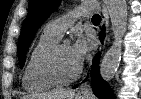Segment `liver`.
Instances as JSON below:
<instances>
[{
    "instance_id": "obj_1",
    "label": "liver",
    "mask_w": 141,
    "mask_h": 99,
    "mask_svg": "<svg viewBox=\"0 0 141 99\" xmlns=\"http://www.w3.org/2000/svg\"><path fill=\"white\" fill-rule=\"evenodd\" d=\"M74 90H58L40 95H26L21 99H74Z\"/></svg>"
}]
</instances>
